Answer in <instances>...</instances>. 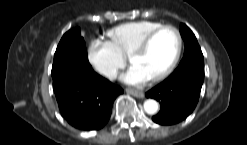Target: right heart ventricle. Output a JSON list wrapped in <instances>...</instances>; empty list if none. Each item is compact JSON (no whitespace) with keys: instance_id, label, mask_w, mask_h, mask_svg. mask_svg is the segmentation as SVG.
<instances>
[{"instance_id":"right-heart-ventricle-1","label":"right heart ventricle","mask_w":247,"mask_h":145,"mask_svg":"<svg viewBox=\"0 0 247 145\" xmlns=\"http://www.w3.org/2000/svg\"><path fill=\"white\" fill-rule=\"evenodd\" d=\"M161 25L154 21L127 22L110 29L107 35L118 51L127 55L146 34Z\"/></svg>"}]
</instances>
